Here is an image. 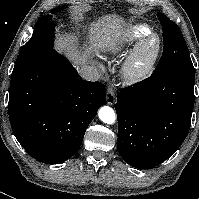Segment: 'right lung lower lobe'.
Returning <instances> with one entry per match:
<instances>
[{"mask_svg": "<svg viewBox=\"0 0 199 199\" xmlns=\"http://www.w3.org/2000/svg\"><path fill=\"white\" fill-rule=\"evenodd\" d=\"M105 104L104 85L82 80L53 49L11 78L13 133L34 159L46 164L64 162L78 152L88 125Z\"/></svg>", "mask_w": 199, "mask_h": 199, "instance_id": "1", "label": "right lung lower lobe"}]
</instances>
